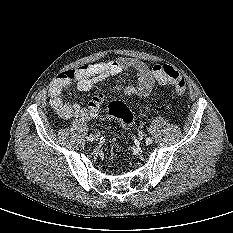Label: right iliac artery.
Instances as JSON below:
<instances>
[{"label":"right iliac artery","instance_id":"82829eb1","mask_svg":"<svg viewBox=\"0 0 233 233\" xmlns=\"http://www.w3.org/2000/svg\"><path fill=\"white\" fill-rule=\"evenodd\" d=\"M88 141L92 142L94 140V135H89L87 138Z\"/></svg>","mask_w":233,"mask_h":233}]
</instances>
